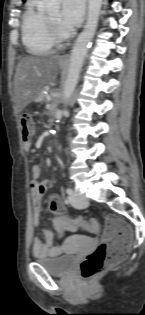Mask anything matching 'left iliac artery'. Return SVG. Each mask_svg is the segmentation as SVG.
I'll use <instances>...</instances> for the list:
<instances>
[{
  "label": "left iliac artery",
  "mask_w": 145,
  "mask_h": 315,
  "mask_svg": "<svg viewBox=\"0 0 145 315\" xmlns=\"http://www.w3.org/2000/svg\"><path fill=\"white\" fill-rule=\"evenodd\" d=\"M66 193L70 195V194L73 193V190H72L71 188H67V189H66Z\"/></svg>",
  "instance_id": "obj_1"
}]
</instances>
